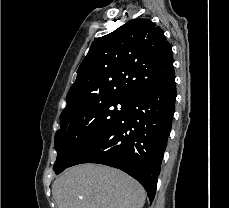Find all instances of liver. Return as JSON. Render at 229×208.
<instances>
[{"label":"liver","mask_w":229,"mask_h":208,"mask_svg":"<svg viewBox=\"0 0 229 208\" xmlns=\"http://www.w3.org/2000/svg\"><path fill=\"white\" fill-rule=\"evenodd\" d=\"M58 208H143L145 190L115 168L80 164L65 170L52 186Z\"/></svg>","instance_id":"1"}]
</instances>
